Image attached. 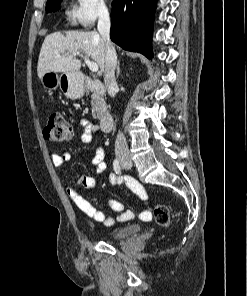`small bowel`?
<instances>
[{
  "label": "small bowel",
  "instance_id": "c3829d8e",
  "mask_svg": "<svg viewBox=\"0 0 247 296\" xmlns=\"http://www.w3.org/2000/svg\"><path fill=\"white\" fill-rule=\"evenodd\" d=\"M80 124L83 128L81 140L85 145H94V136L99 131V126L89 121L87 118H81ZM70 159V153L65 151L61 154H53L52 162L56 168H62ZM95 172L100 174L106 170L104 160V151L100 146L94 147V157L92 159ZM62 182L66 186V193L78 209L90 219L102 223L107 227L113 226L116 222H125L134 218L135 213L132 209H124L122 203L117 200H108L106 205L117 213L116 216H108L104 212L95 208L89 201L84 199L80 194V189H92L95 186V179L91 176H82L72 182L66 175H62ZM108 182L111 185L125 184L129 190L141 198H146V192L143 187L133 178L128 176H119L111 173L108 175ZM149 215V210H144L140 214L141 219L147 220L144 216Z\"/></svg>",
  "mask_w": 247,
  "mask_h": 296
}]
</instances>
